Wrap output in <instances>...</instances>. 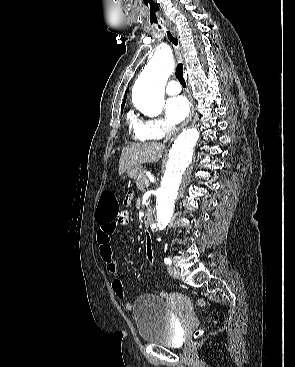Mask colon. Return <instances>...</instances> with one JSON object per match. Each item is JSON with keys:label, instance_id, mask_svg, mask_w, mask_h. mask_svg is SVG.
I'll return each mask as SVG.
<instances>
[{"label": "colon", "instance_id": "obj_1", "mask_svg": "<svg viewBox=\"0 0 295 367\" xmlns=\"http://www.w3.org/2000/svg\"><path fill=\"white\" fill-rule=\"evenodd\" d=\"M124 204H130V199L125 198ZM119 204L117 201V198L113 192L106 191L104 192L99 200L98 205V211H97V218L100 221H110V220H117L118 221V213H119ZM128 218V215H127ZM148 228L147 226L145 227ZM147 230L143 236H142V244L143 246H146V257L147 260L151 263L153 261L154 257V251H153V241L151 239L150 234ZM199 304H203V302L200 300ZM197 336L200 335V332H197Z\"/></svg>", "mask_w": 295, "mask_h": 367}]
</instances>
